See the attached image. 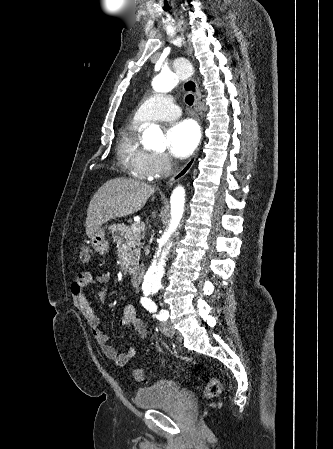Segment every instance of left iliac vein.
I'll list each match as a JSON object with an SVG mask.
<instances>
[{
    "instance_id": "1",
    "label": "left iliac vein",
    "mask_w": 333,
    "mask_h": 449,
    "mask_svg": "<svg viewBox=\"0 0 333 449\" xmlns=\"http://www.w3.org/2000/svg\"><path fill=\"white\" fill-rule=\"evenodd\" d=\"M160 331L167 337L174 336V329L169 322H164L160 326Z\"/></svg>"
}]
</instances>
